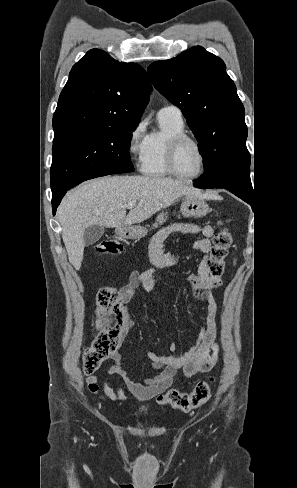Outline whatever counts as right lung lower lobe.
Returning <instances> with one entry per match:
<instances>
[{"label":"right lung lower lobe","mask_w":297,"mask_h":488,"mask_svg":"<svg viewBox=\"0 0 297 488\" xmlns=\"http://www.w3.org/2000/svg\"><path fill=\"white\" fill-rule=\"evenodd\" d=\"M101 176H105V175H101ZM96 177H100V176H96ZM95 178V177H94ZM67 192V191H66ZM65 192V193H66ZM65 193L55 197L52 199V209H53V214L55 215L56 213V208L58 207V205L60 204L61 202V199L63 198V196L65 195Z\"/></svg>","instance_id":"obj_1"}]
</instances>
